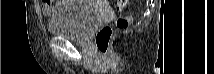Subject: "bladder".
I'll use <instances>...</instances> for the list:
<instances>
[{
    "label": "bladder",
    "instance_id": "1",
    "mask_svg": "<svg viewBox=\"0 0 214 74\" xmlns=\"http://www.w3.org/2000/svg\"><path fill=\"white\" fill-rule=\"evenodd\" d=\"M69 2L71 5L55 10V14L48 21L49 31L54 36L84 41L98 23L101 11L91 1Z\"/></svg>",
    "mask_w": 214,
    "mask_h": 74
}]
</instances>
